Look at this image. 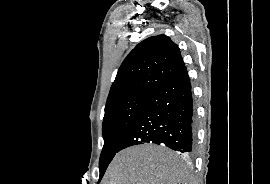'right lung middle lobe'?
I'll use <instances>...</instances> for the list:
<instances>
[{
  "label": "right lung middle lobe",
  "instance_id": "1",
  "mask_svg": "<svg viewBox=\"0 0 270 184\" xmlns=\"http://www.w3.org/2000/svg\"><path fill=\"white\" fill-rule=\"evenodd\" d=\"M148 97L146 95H133L106 104L102 128L104 146L99 161V181L103 177L108 164L119 151L121 142L133 125Z\"/></svg>",
  "mask_w": 270,
  "mask_h": 184
}]
</instances>
